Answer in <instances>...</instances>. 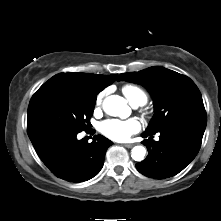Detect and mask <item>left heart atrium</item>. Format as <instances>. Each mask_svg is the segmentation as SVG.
<instances>
[{
  "instance_id": "39dd6f15",
  "label": "left heart atrium",
  "mask_w": 221,
  "mask_h": 221,
  "mask_svg": "<svg viewBox=\"0 0 221 221\" xmlns=\"http://www.w3.org/2000/svg\"><path fill=\"white\" fill-rule=\"evenodd\" d=\"M100 132L115 141H126L140 130V124L135 119H108L100 123Z\"/></svg>"
}]
</instances>
